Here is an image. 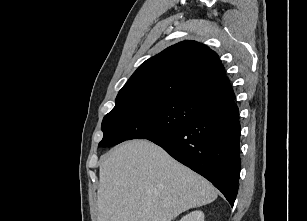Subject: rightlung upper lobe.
Wrapping results in <instances>:
<instances>
[{
	"label": "right lung upper lobe",
	"instance_id": "right-lung-upper-lobe-1",
	"mask_svg": "<svg viewBox=\"0 0 307 221\" xmlns=\"http://www.w3.org/2000/svg\"><path fill=\"white\" fill-rule=\"evenodd\" d=\"M169 98L208 107L235 97L218 55L206 45L182 41L146 60L119 91L116 102Z\"/></svg>",
	"mask_w": 307,
	"mask_h": 221
}]
</instances>
